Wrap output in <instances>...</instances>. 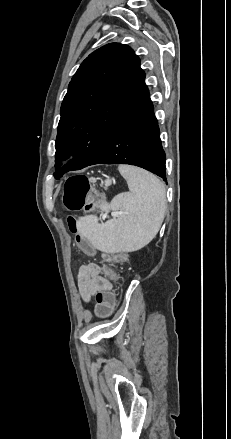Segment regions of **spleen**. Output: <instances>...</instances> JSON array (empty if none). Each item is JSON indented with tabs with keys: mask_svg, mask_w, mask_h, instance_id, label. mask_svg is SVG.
Segmentation results:
<instances>
[{
	"mask_svg": "<svg viewBox=\"0 0 231 439\" xmlns=\"http://www.w3.org/2000/svg\"><path fill=\"white\" fill-rule=\"evenodd\" d=\"M129 192L120 193L103 211L120 210L118 218L99 223L96 216L79 218L78 229L97 249L131 252L148 244L158 233L166 210L165 186L155 175L129 165L118 167Z\"/></svg>",
	"mask_w": 231,
	"mask_h": 439,
	"instance_id": "spleen-1",
	"label": "spleen"
}]
</instances>
